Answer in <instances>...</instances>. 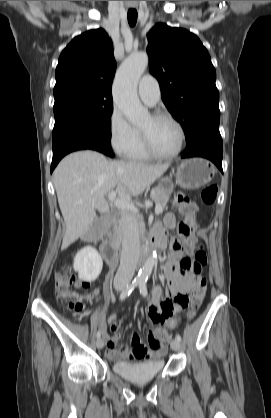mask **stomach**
Returning <instances> with one entry per match:
<instances>
[{
    "instance_id": "stomach-1",
    "label": "stomach",
    "mask_w": 271,
    "mask_h": 418,
    "mask_svg": "<svg viewBox=\"0 0 271 418\" xmlns=\"http://www.w3.org/2000/svg\"><path fill=\"white\" fill-rule=\"evenodd\" d=\"M215 174L211 162L203 158H190L183 160L177 166L176 183L184 189H197L208 184ZM160 187L172 192L173 184L169 179H163Z\"/></svg>"
}]
</instances>
